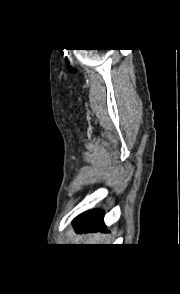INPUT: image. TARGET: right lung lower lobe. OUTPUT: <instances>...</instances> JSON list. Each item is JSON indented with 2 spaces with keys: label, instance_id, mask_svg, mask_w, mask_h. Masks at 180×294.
<instances>
[{
  "label": "right lung lower lobe",
  "instance_id": "obj_1",
  "mask_svg": "<svg viewBox=\"0 0 180 294\" xmlns=\"http://www.w3.org/2000/svg\"><path fill=\"white\" fill-rule=\"evenodd\" d=\"M74 226L78 232L103 230L105 229L103 212L95 210L82 214L74 221Z\"/></svg>",
  "mask_w": 180,
  "mask_h": 294
}]
</instances>
